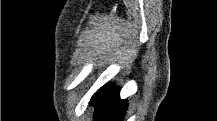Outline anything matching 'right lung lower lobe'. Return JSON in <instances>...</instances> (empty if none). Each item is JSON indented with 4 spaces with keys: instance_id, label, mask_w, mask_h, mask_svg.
Wrapping results in <instances>:
<instances>
[{
    "instance_id": "obj_1",
    "label": "right lung lower lobe",
    "mask_w": 217,
    "mask_h": 121,
    "mask_svg": "<svg viewBox=\"0 0 217 121\" xmlns=\"http://www.w3.org/2000/svg\"><path fill=\"white\" fill-rule=\"evenodd\" d=\"M90 104L97 106L94 117L97 121H121L127 108V102L119 98V89L110 83L93 95Z\"/></svg>"
}]
</instances>
